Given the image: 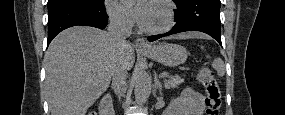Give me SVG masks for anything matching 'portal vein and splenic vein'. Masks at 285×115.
<instances>
[{
  "instance_id": "18ae733b",
  "label": "portal vein and splenic vein",
  "mask_w": 285,
  "mask_h": 115,
  "mask_svg": "<svg viewBox=\"0 0 285 115\" xmlns=\"http://www.w3.org/2000/svg\"><path fill=\"white\" fill-rule=\"evenodd\" d=\"M166 76H168V73L167 72H162L160 75H159V77H166Z\"/></svg>"
}]
</instances>
